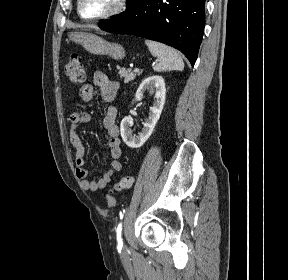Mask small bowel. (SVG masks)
Here are the masks:
<instances>
[{"instance_id": "obj_1", "label": "small bowel", "mask_w": 288, "mask_h": 280, "mask_svg": "<svg viewBox=\"0 0 288 280\" xmlns=\"http://www.w3.org/2000/svg\"><path fill=\"white\" fill-rule=\"evenodd\" d=\"M93 84L100 91L105 102L110 104L102 121L103 127L108 134L110 166L98 180H91L88 178V170L85 167L86 150L83 141L78 134V128L79 126L88 123L91 120V115L86 111H73L70 115L71 128L69 140L75 150L76 175L80 180L81 187L87 191L102 190L122 168L119 161L122 150L120 132L116 124L117 109L112 105L119 89V83L109 79L103 72L96 71L93 74ZM94 86L87 84L81 88L80 96L84 101H89L92 98Z\"/></svg>"}]
</instances>
